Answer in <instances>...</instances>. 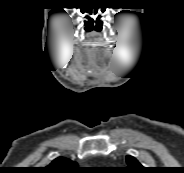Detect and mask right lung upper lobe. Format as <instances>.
Instances as JSON below:
<instances>
[{
    "label": "right lung upper lobe",
    "instance_id": "cb5924a9",
    "mask_svg": "<svg viewBox=\"0 0 184 173\" xmlns=\"http://www.w3.org/2000/svg\"><path fill=\"white\" fill-rule=\"evenodd\" d=\"M77 164L64 157H58L53 160L47 167L41 169L42 173H75Z\"/></svg>",
    "mask_w": 184,
    "mask_h": 173
}]
</instances>
